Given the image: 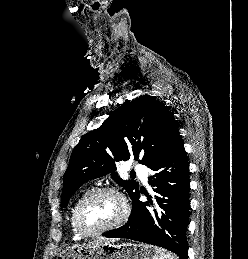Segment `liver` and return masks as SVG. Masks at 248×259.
Segmentation results:
<instances>
[{
  "label": "liver",
  "instance_id": "obj_1",
  "mask_svg": "<svg viewBox=\"0 0 248 259\" xmlns=\"http://www.w3.org/2000/svg\"><path fill=\"white\" fill-rule=\"evenodd\" d=\"M117 239H114V238H104V237H101V238H98L94 241H91L87 244H83V245H79V246H84V247H94V246H98L100 244H107V243H114L116 242Z\"/></svg>",
  "mask_w": 248,
  "mask_h": 259
}]
</instances>
